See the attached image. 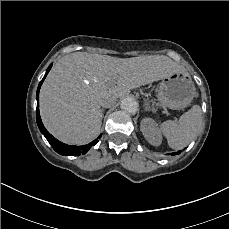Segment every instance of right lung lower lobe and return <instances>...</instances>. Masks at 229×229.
I'll use <instances>...</instances> for the list:
<instances>
[{
	"label": "right lung lower lobe",
	"instance_id": "1",
	"mask_svg": "<svg viewBox=\"0 0 229 229\" xmlns=\"http://www.w3.org/2000/svg\"><path fill=\"white\" fill-rule=\"evenodd\" d=\"M52 67V64H50V66L48 67L45 76L43 77V79L41 80V82L39 83V86L37 88V109H36V121H37V125L39 127V130L41 131V133L45 136V138L48 140V142L51 144V146L53 147V149L61 154V155H71V156H79V155H83L85 153L88 152V150L93 146L96 145L98 142V139L92 141L91 143H89L88 145H83V146H70L67 144H64L62 142H60L59 140H57L56 138H54L44 127L42 121H41V117H40V113H39V90L40 87L45 79V77L47 76L48 72L50 71ZM101 137V136H100ZM99 137V138H100Z\"/></svg>",
	"mask_w": 229,
	"mask_h": 229
}]
</instances>
